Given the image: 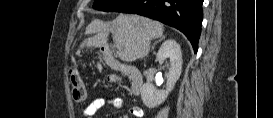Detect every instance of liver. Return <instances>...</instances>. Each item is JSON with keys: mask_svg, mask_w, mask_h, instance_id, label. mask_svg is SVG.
Segmentation results:
<instances>
[{"mask_svg": "<svg viewBox=\"0 0 273 118\" xmlns=\"http://www.w3.org/2000/svg\"><path fill=\"white\" fill-rule=\"evenodd\" d=\"M163 26L157 21L138 15H119L112 21L93 20L86 28L88 33H96L95 36L85 39L83 47H108V35L112 33L113 40L122 46L119 58L126 62H132L145 57L150 50L153 39L163 35Z\"/></svg>", "mask_w": 273, "mask_h": 118, "instance_id": "obj_1", "label": "liver"}]
</instances>
